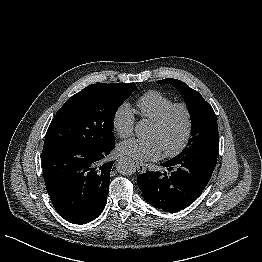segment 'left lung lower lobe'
<instances>
[{
  "label": "left lung lower lobe",
  "instance_id": "1",
  "mask_svg": "<svg viewBox=\"0 0 262 262\" xmlns=\"http://www.w3.org/2000/svg\"><path fill=\"white\" fill-rule=\"evenodd\" d=\"M217 159L178 158L162 163L171 175L146 172L137 178L144 199L166 212H177L195 201L210 180Z\"/></svg>",
  "mask_w": 262,
  "mask_h": 262
}]
</instances>
